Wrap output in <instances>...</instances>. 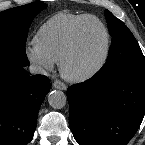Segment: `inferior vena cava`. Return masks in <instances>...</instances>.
I'll list each match as a JSON object with an SVG mask.
<instances>
[{
  "label": "inferior vena cava",
  "instance_id": "inferior-vena-cava-1",
  "mask_svg": "<svg viewBox=\"0 0 145 145\" xmlns=\"http://www.w3.org/2000/svg\"><path fill=\"white\" fill-rule=\"evenodd\" d=\"M30 73L32 74H45L46 71L38 64H31L29 67Z\"/></svg>",
  "mask_w": 145,
  "mask_h": 145
}]
</instances>
